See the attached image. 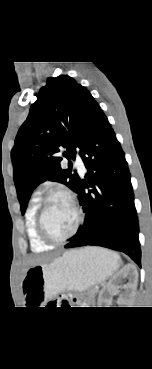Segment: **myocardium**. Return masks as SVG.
Returning a JSON list of instances; mask_svg holds the SVG:
<instances>
[{"label":"myocardium","instance_id":"myocardium-1","mask_svg":"<svg viewBox=\"0 0 152 369\" xmlns=\"http://www.w3.org/2000/svg\"><path fill=\"white\" fill-rule=\"evenodd\" d=\"M59 196L64 197L67 200H69V202L73 206V209H74L75 214H76V223H75V226L73 227L72 231L68 235H66L62 238H55L48 232V230L46 228L45 213H46V209H47V206H48V203L50 202V200L54 197H59ZM83 220H84L83 213H82V211L79 207V204H78L77 200L75 199V197L69 191L54 190V191H51V192L47 193L40 200L39 208H38L37 215H36V227H37V231H38L41 239L44 242H46L47 244H50V245H59V244H62L64 242H66L70 238H72L78 232L80 226L83 223Z\"/></svg>","mask_w":152,"mask_h":369}]
</instances>
